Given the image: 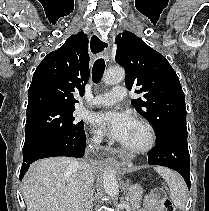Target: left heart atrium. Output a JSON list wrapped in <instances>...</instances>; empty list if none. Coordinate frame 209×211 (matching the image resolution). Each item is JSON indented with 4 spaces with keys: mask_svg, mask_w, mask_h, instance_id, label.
Masks as SVG:
<instances>
[{
    "mask_svg": "<svg viewBox=\"0 0 209 211\" xmlns=\"http://www.w3.org/2000/svg\"><path fill=\"white\" fill-rule=\"evenodd\" d=\"M90 122L100 132L121 143L128 138L136 123L130 113L119 111L95 113L91 116Z\"/></svg>",
    "mask_w": 209,
    "mask_h": 211,
    "instance_id": "obj_1",
    "label": "left heart atrium"
}]
</instances>
